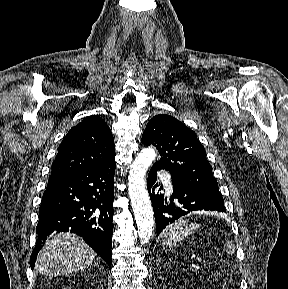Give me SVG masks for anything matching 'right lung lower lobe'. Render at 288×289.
<instances>
[{
	"mask_svg": "<svg viewBox=\"0 0 288 289\" xmlns=\"http://www.w3.org/2000/svg\"><path fill=\"white\" fill-rule=\"evenodd\" d=\"M115 167L113 159L92 170L49 179L39 208L32 268L43 241L55 230L78 234L111 267Z\"/></svg>",
	"mask_w": 288,
	"mask_h": 289,
	"instance_id": "obj_1",
	"label": "right lung lower lobe"
}]
</instances>
